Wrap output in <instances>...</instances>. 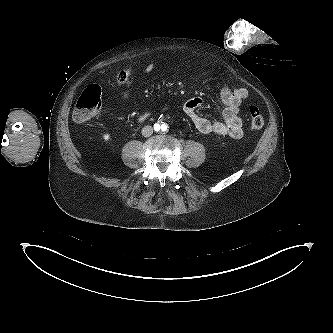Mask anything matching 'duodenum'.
<instances>
[{
    "label": "duodenum",
    "mask_w": 333,
    "mask_h": 333,
    "mask_svg": "<svg viewBox=\"0 0 333 333\" xmlns=\"http://www.w3.org/2000/svg\"><path fill=\"white\" fill-rule=\"evenodd\" d=\"M148 115L147 114H144L140 117V120H144Z\"/></svg>",
    "instance_id": "410a0bca"
}]
</instances>
